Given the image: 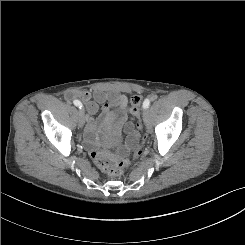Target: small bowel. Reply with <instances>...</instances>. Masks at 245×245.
<instances>
[{"mask_svg":"<svg viewBox=\"0 0 245 245\" xmlns=\"http://www.w3.org/2000/svg\"><path fill=\"white\" fill-rule=\"evenodd\" d=\"M73 96H79L85 103L90 116L98 112L99 104H102V114L106 119L117 118L120 122V128L125 136V146L129 148L136 143L137 134L133 130L132 122L125 112L127 107V98L124 94L118 91H95L82 93H69L67 99ZM96 130V124L92 117L88 119L87 137L92 140Z\"/></svg>","mask_w":245,"mask_h":245,"instance_id":"c3829d8e","label":"small bowel"}]
</instances>
